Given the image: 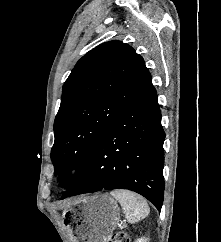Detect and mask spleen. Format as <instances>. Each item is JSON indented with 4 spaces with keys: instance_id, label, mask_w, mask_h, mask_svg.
<instances>
[{
    "instance_id": "1",
    "label": "spleen",
    "mask_w": 221,
    "mask_h": 242,
    "mask_svg": "<svg viewBox=\"0 0 221 242\" xmlns=\"http://www.w3.org/2000/svg\"><path fill=\"white\" fill-rule=\"evenodd\" d=\"M110 194L120 203L130 224L144 219L150 212L146 200L136 193L128 190H113Z\"/></svg>"
}]
</instances>
